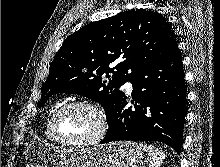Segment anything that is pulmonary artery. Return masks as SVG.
I'll return each instance as SVG.
<instances>
[{
    "instance_id": "1",
    "label": "pulmonary artery",
    "mask_w": 220,
    "mask_h": 167,
    "mask_svg": "<svg viewBox=\"0 0 220 167\" xmlns=\"http://www.w3.org/2000/svg\"><path fill=\"white\" fill-rule=\"evenodd\" d=\"M125 87H126V89H127V91H132V84H131V82L130 81H128L126 84H125Z\"/></svg>"
}]
</instances>
